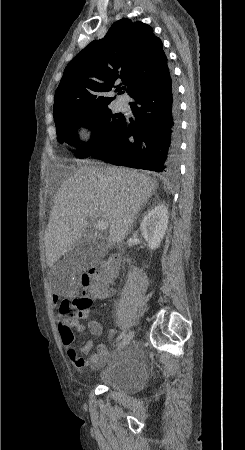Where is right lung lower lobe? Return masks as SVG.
<instances>
[{"instance_id": "right-lung-lower-lobe-1", "label": "right lung lower lobe", "mask_w": 245, "mask_h": 450, "mask_svg": "<svg viewBox=\"0 0 245 450\" xmlns=\"http://www.w3.org/2000/svg\"><path fill=\"white\" fill-rule=\"evenodd\" d=\"M132 98L136 121L125 119L116 139L91 156L114 165L174 174L179 164L178 103L168 67Z\"/></svg>"}]
</instances>
